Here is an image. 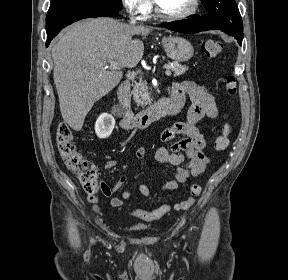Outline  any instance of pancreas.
I'll return each instance as SVG.
<instances>
[{
	"mask_svg": "<svg viewBox=\"0 0 288 280\" xmlns=\"http://www.w3.org/2000/svg\"><path fill=\"white\" fill-rule=\"evenodd\" d=\"M165 66L169 67V69L174 71V76L182 75L188 70L187 66L181 65L180 63L176 61L166 64ZM133 96H134L135 102L139 105L140 104L147 105L151 102L150 93L148 92V87L146 85V82L140 80L139 82L135 83Z\"/></svg>",
	"mask_w": 288,
	"mask_h": 280,
	"instance_id": "pancreas-1",
	"label": "pancreas"
}]
</instances>
